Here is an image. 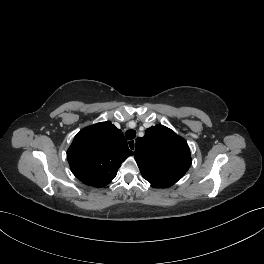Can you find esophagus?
Here are the masks:
<instances>
[{"label":"esophagus","instance_id":"1","mask_svg":"<svg viewBox=\"0 0 264 264\" xmlns=\"http://www.w3.org/2000/svg\"><path fill=\"white\" fill-rule=\"evenodd\" d=\"M135 145H136L135 140H129L128 141V147L130 150L135 151Z\"/></svg>","mask_w":264,"mask_h":264}]
</instances>
